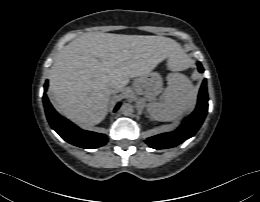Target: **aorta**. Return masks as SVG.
Listing matches in <instances>:
<instances>
[{
	"instance_id": "obj_1",
	"label": "aorta",
	"mask_w": 260,
	"mask_h": 202,
	"mask_svg": "<svg viewBox=\"0 0 260 202\" xmlns=\"http://www.w3.org/2000/svg\"><path fill=\"white\" fill-rule=\"evenodd\" d=\"M133 111H134V107L130 103H123L120 108V112L124 115H131Z\"/></svg>"
}]
</instances>
